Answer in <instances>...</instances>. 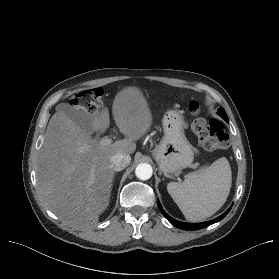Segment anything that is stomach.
<instances>
[{
	"mask_svg": "<svg viewBox=\"0 0 279 279\" xmlns=\"http://www.w3.org/2000/svg\"><path fill=\"white\" fill-rule=\"evenodd\" d=\"M162 125L164 136L155 147L153 156L159 170L168 175L177 173L192 164L194 148L185 136L186 122L182 112L167 111L163 117Z\"/></svg>",
	"mask_w": 279,
	"mask_h": 279,
	"instance_id": "1",
	"label": "stomach"
}]
</instances>
